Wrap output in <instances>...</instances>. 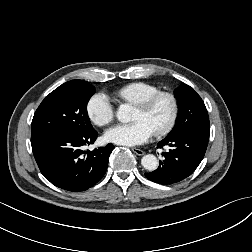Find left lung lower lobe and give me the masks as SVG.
Here are the masks:
<instances>
[{"instance_id": "left-lung-lower-lobe-1", "label": "left lung lower lobe", "mask_w": 252, "mask_h": 252, "mask_svg": "<svg viewBox=\"0 0 252 252\" xmlns=\"http://www.w3.org/2000/svg\"><path fill=\"white\" fill-rule=\"evenodd\" d=\"M209 132L210 130L194 129L164 138L157 147L168 145L171 149L162 154L164 160L159 162V167L153 172L145 173V176L163 185L174 184L190 176L205 155Z\"/></svg>"}]
</instances>
